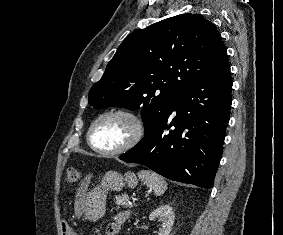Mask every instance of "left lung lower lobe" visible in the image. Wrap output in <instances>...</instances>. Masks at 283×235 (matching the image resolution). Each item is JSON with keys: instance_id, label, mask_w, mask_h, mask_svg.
I'll use <instances>...</instances> for the list:
<instances>
[{"instance_id": "left-lung-lower-lobe-1", "label": "left lung lower lobe", "mask_w": 283, "mask_h": 235, "mask_svg": "<svg viewBox=\"0 0 283 235\" xmlns=\"http://www.w3.org/2000/svg\"><path fill=\"white\" fill-rule=\"evenodd\" d=\"M231 90L227 61L189 83L167 115L119 158L143 164L170 180L213 187L229 122Z\"/></svg>"}]
</instances>
